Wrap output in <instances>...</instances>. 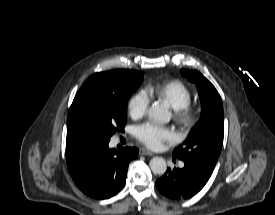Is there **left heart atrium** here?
Returning a JSON list of instances; mask_svg holds the SVG:
<instances>
[{
	"mask_svg": "<svg viewBox=\"0 0 275 215\" xmlns=\"http://www.w3.org/2000/svg\"><path fill=\"white\" fill-rule=\"evenodd\" d=\"M134 134L139 141L153 149L159 148L163 142L174 141L176 137L170 128L153 122L138 125Z\"/></svg>",
	"mask_w": 275,
	"mask_h": 215,
	"instance_id": "left-heart-atrium-1",
	"label": "left heart atrium"
}]
</instances>
